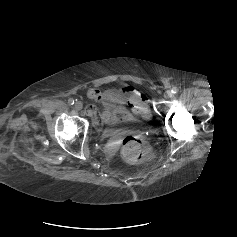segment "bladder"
<instances>
[{
    "mask_svg": "<svg viewBox=\"0 0 237 237\" xmlns=\"http://www.w3.org/2000/svg\"><path fill=\"white\" fill-rule=\"evenodd\" d=\"M133 122L132 120H126V121H118L116 124H114L111 129H110V132L111 133H114L115 131L123 128V127H127V126H130L132 125Z\"/></svg>",
    "mask_w": 237,
    "mask_h": 237,
    "instance_id": "bladder-1",
    "label": "bladder"
}]
</instances>
